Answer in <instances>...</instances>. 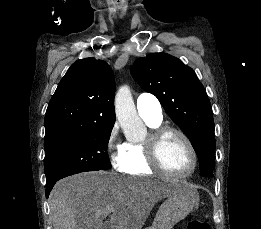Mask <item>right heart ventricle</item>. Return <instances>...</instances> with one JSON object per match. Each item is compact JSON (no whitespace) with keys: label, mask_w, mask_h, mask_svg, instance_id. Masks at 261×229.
<instances>
[{"label":"right heart ventricle","mask_w":261,"mask_h":229,"mask_svg":"<svg viewBox=\"0 0 261 229\" xmlns=\"http://www.w3.org/2000/svg\"><path fill=\"white\" fill-rule=\"evenodd\" d=\"M145 124L155 130L162 125L160 122H152L150 120L142 118ZM125 150L128 158L126 172L131 175L148 176L154 172L149 157H148V142L143 141L139 143L127 142L125 144Z\"/></svg>","instance_id":"1"}]
</instances>
